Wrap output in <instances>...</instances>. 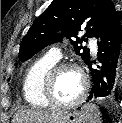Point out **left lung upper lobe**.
<instances>
[{
	"instance_id": "obj_1",
	"label": "left lung upper lobe",
	"mask_w": 122,
	"mask_h": 123,
	"mask_svg": "<svg viewBox=\"0 0 122 123\" xmlns=\"http://www.w3.org/2000/svg\"><path fill=\"white\" fill-rule=\"evenodd\" d=\"M115 15L117 11L110 0H53L24 36L19 58L25 61L65 35L76 38L71 41L75 51L88 64L90 51L79 44L91 37L99 38ZM81 28L86 30V38L77 37ZM58 29L62 31L61 35L56 33ZM82 49L84 51L80 53Z\"/></svg>"
}]
</instances>
